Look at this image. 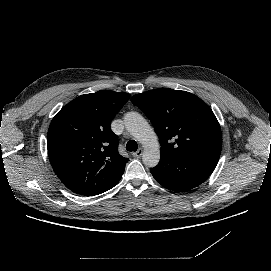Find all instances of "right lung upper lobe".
<instances>
[{
  "label": "right lung upper lobe",
  "mask_w": 271,
  "mask_h": 271,
  "mask_svg": "<svg viewBox=\"0 0 271 271\" xmlns=\"http://www.w3.org/2000/svg\"><path fill=\"white\" fill-rule=\"evenodd\" d=\"M130 94L101 90L65 105L47 134L51 165L73 192L93 196L114 187L128 158L118 153V137L110 123Z\"/></svg>",
  "instance_id": "1"
}]
</instances>
